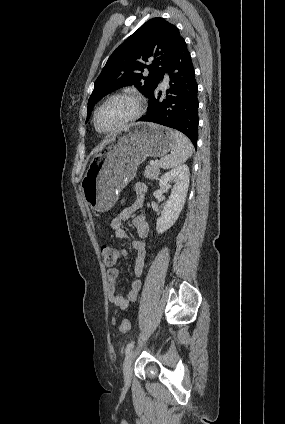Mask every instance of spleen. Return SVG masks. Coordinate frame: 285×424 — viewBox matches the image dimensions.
I'll return each mask as SVG.
<instances>
[{
	"label": "spleen",
	"mask_w": 285,
	"mask_h": 424,
	"mask_svg": "<svg viewBox=\"0 0 285 424\" xmlns=\"http://www.w3.org/2000/svg\"><path fill=\"white\" fill-rule=\"evenodd\" d=\"M174 147L170 155L163 157L159 165L168 169L180 166L193 154L191 141L179 131H173Z\"/></svg>",
	"instance_id": "1"
}]
</instances>
